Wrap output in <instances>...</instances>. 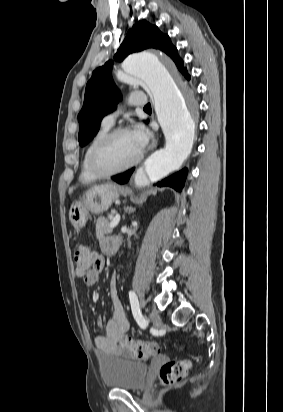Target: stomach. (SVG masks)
Returning <instances> with one entry per match:
<instances>
[{
	"label": "stomach",
	"mask_w": 283,
	"mask_h": 412,
	"mask_svg": "<svg viewBox=\"0 0 283 412\" xmlns=\"http://www.w3.org/2000/svg\"><path fill=\"white\" fill-rule=\"evenodd\" d=\"M120 194V189L113 184L99 185L88 190L80 200L71 204L69 209L71 224L79 231L86 225L90 213L100 214L107 211Z\"/></svg>",
	"instance_id": "0dacf381"
}]
</instances>
